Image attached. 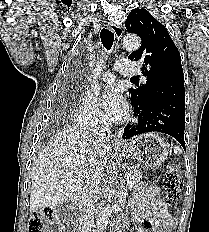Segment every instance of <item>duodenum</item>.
Instances as JSON below:
<instances>
[{"instance_id": "duodenum-1", "label": "duodenum", "mask_w": 209, "mask_h": 232, "mask_svg": "<svg viewBox=\"0 0 209 232\" xmlns=\"http://www.w3.org/2000/svg\"><path fill=\"white\" fill-rule=\"evenodd\" d=\"M76 208V201H71L65 207V213L60 225L61 232H76V219L74 211Z\"/></svg>"}]
</instances>
